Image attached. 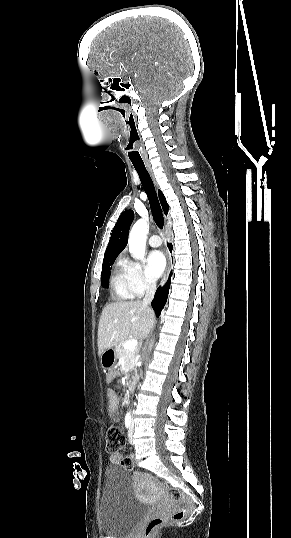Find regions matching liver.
<instances>
[{"label": "liver", "mask_w": 291, "mask_h": 538, "mask_svg": "<svg viewBox=\"0 0 291 538\" xmlns=\"http://www.w3.org/2000/svg\"><path fill=\"white\" fill-rule=\"evenodd\" d=\"M155 320L154 311L138 301H119L107 304L98 325V354L133 336L143 340Z\"/></svg>", "instance_id": "1"}]
</instances>
